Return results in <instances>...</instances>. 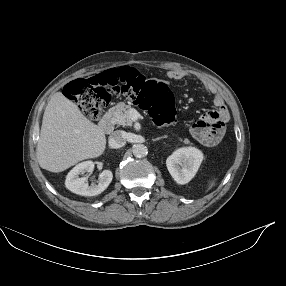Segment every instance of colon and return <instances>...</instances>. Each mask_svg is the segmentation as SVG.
Masks as SVG:
<instances>
[{
    "label": "colon",
    "mask_w": 286,
    "mask_h": 286,
    "mask_svg": "<svg viewBox=\"0 0 286 286\" xmlns=\"http://www.w3.org/2000/svg\"><path fill=\"white\" fill-rule=\"evenodd\" d=\"M137 97L158 124L175 119L174 96L168 86L148 79L134 68L107 70L87 79H77L67 86L66 95L75 101L91 119H96L108 105L112 95ZM225 122L215 112L208 111L192 127V136L206 147L220 144Z\"/></svg>",
    "instance_id": "colon-1"
}]
</instances>
